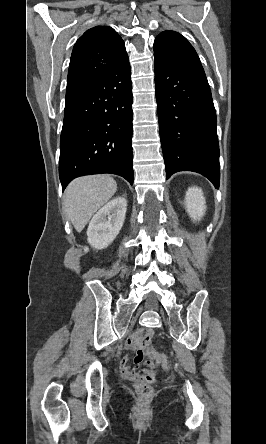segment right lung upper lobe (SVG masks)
Returning <instances> with one entry per match:
<instances>
[{
	"label": "right lung upper lobe",
	"mask_w": 266,
	"mask_h": 444,
	"mask_svg": "<svg viewBox=\"0 0 266 444\" xmlns=\"http://www.w3.org/2000/svg\"><path fill=\"white\" fill-rule=\"evenodd\" d=\"M125 44L109 26L87 30L74 45L66 88V101L80 95L127 59Z\"/></svg>",
	"instance_id": "right-lung-upper-lobe-1"
}]
</instances>
